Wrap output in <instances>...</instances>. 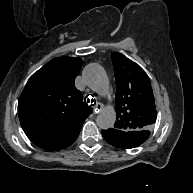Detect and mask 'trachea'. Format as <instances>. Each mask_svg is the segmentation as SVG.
<instances>
[{
  "label": "trachea",
  "mask_w": 193,
  "mask_h": 193,
  "mask_svg": "<svg viewBox=\"0 0 193 193\" xmlns=\"http://www.w3.org/2000/svg\"><path fill=\"white\" fill-rule=\"evenodd\" d=\"M88 96H89V95H87V96L85 97V101H84V102H85L86 104H87V103H91V104L94 103V104L91 105V106H94V105L96 104V100L93 99V98L89 99Z\"/></svg>",
  "instance_id": "3493384b"
}]
</instances>
